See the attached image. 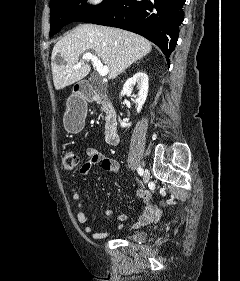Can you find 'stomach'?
I'll list each match as a JSON object with an SVG mask.
<instances>
[{
  "label": "stomach",
  "instance_id": "0dacf381",
  "mask_svg": "<svg viewBox=\"0 0 240 281\" xmlns=\"http://www.w3.org/2000/svg\"><path fill=\"white\" fill-rule=\"evenodd\" d=\"M86 117L85 104L78 98L77 93L74 92L70 97L67 108L63 117V124L68 132H79Z\"/></svg>",
  "mask_w": 240,
  "mask_h": 281
}]
</instances>
